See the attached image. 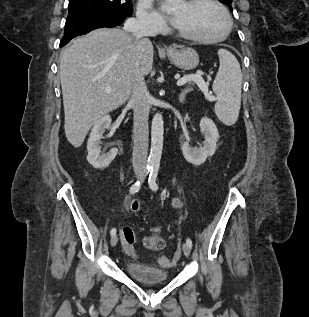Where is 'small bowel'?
<instances>
[{
  "label": "small bowel",
  "instance_id": "c3829d8e",
  "mask_svg": "<svg viewBox=\"0 0 309 317\" xmlns=\"http://www.w3.org/2000/svg\"><path fill=\"white\" fill-rule=\"evenodd\" d=\"M126 205L128 208H130V201L127 200L126 201ZM172 205L176 208H179L182 206V201L179 199V198H174L173 201H172ZM126 248V251L129 253V254H133L134 253V250L132 247H125Z\"/></svg>",
  "mask_w": 309,
  "mask_h": 317
}]
</instances>
